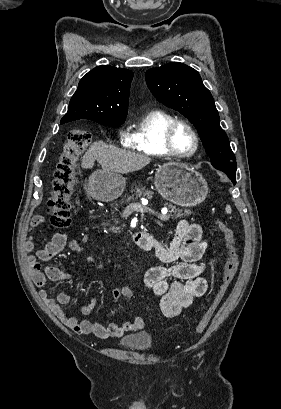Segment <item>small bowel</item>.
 <instances>
[{"instance_id":"obj_1","label":"small bowel","mask_w":281,"mask_h":409,"mask_svg":"<svg viewBox=\"0 0 281 409\" xmlns=\"http://www.w3.org/2000/svg\"><path fill=\"white\" fill-rule=\"evenodd\" d=\"M48 217L38 215L37 219L30 221L27 229L29 235H40L41 224H46ZM151 249L158 258L167 265L151 267L144 274V283L151 292L160 297V310L167 318L176 317L180 311L192 304L196 297L205 294L208 288V280L202 275V259L207 248V241L203 237L202 229L198 224L181 220L175 230V234L167 246L151 238ZM66 247L76 252H82L83 246L74 240H70L63 233L53 236L44 248L37 250L28 256L30 271L35 285L40 289L39 296L56 314L59 320L77 334H93L99 338L122 337L127 333L138 332L144 328V320L140 317L122 325L111 323L107 326L88 320H79L68 315L62 307L71 302V296L67 292H60L56 298H51L45 286L48 281L60 282L73 278V274L61 270L55 266H47L41 269L40 262L49 261L62 252ZM34 248V242L30 237L25 243L27 252ZM133 296V290L129 286L116 287L112 290L115 301L128 300ZM97 304L95 297L83 305L81 312L87 315L92 312Z\"/></svg>"}]
</instances>
